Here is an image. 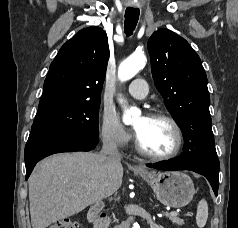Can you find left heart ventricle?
<instances>
[{
    "instance_id": "1",
    "label": "left heart ventricle",
    "mask_w": 238,
    "mask_h": 228,
    "mask_svg": "<svg viewBox=\"0 0 238 228\" xmlns=\"http://www.w3.org/2000/svg\"><path fill=\"white\" fill-rule=\"evenodd\" d=\"M137 137L145 150L154 154L170 152L175 145V133L164 119L138 118L134 123Z\"/></svg>"
}]
</instances>
